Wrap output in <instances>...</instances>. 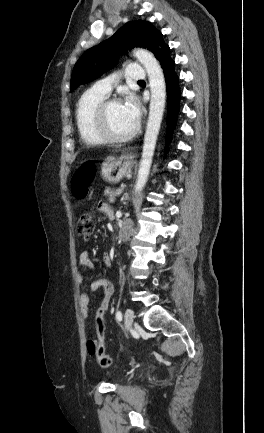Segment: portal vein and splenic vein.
Listing matches in <instances>:
<instances>
[{
    "mask_svg": "<svg viewBox=\"0 0 264 433\" xmlns=\"http://www.w3.org/2000/svg\"><path fill=\"white\" fill-rule=\"evenodd\" d=\"M122 192H123V189H118V190H116V193H117L118 195H120Z\"/></svg>",
    "mask_w": 264,
    "mask_h": 433,
    "instance_id": "18ae733b",
    "label": "portal vein and splenic vein"
}]
</instances>
